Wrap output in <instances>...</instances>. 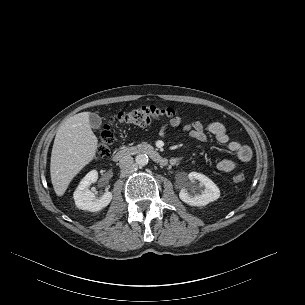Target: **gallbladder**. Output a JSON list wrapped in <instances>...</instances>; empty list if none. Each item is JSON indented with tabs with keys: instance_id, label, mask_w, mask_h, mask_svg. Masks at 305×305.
Here are the masks:
<instances>
[{
	"instance_id": "1",
	"label": "gallbladder",
	"mask_w": 305,
	"mask_h": 305,
	"mask_svg": "<svg viewBox=\"0 0 305 305\" xmlns=\"http://www.w3.org/2000/svg\"><path fill=\"white\" fill-rule=\"evenodd\" d=\"M90 125L94 130H98L102 124V118L96 113H90L89 116Z\"/></svg>"
}]
</instances>
